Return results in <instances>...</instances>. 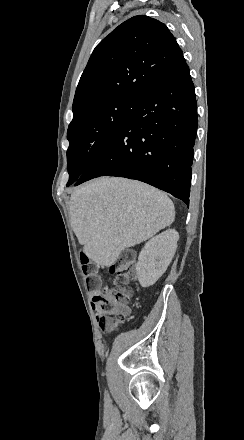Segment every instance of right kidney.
Masks as SVG:
<instances>
[{"instance_id":"ca27d5eb","label":"right kidney","mask_w":244,"mask_h":440,"mask_svg":"<svg viewBox=\"0 0 244 440\" xmlns=\"http://www.w3.org/2000/svg\"><path fill=\"white\" fill-rule=\"evenodd\" d=\"M179 234L176 230H166L149 240L142 248L136 274L142 288L153 286L166 272L177 248Z\"/></svg>"}]
</instances>
